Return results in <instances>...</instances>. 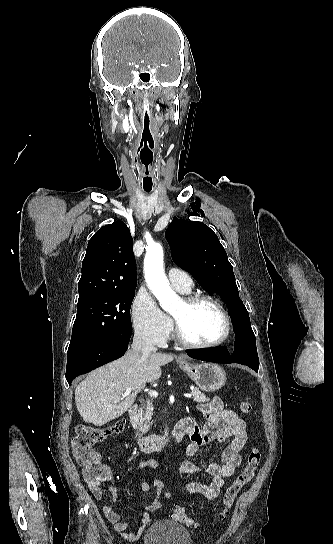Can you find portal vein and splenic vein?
Segmentation results:
<instances>
[{"mask_svg": "<svg viewBox=\"0 0 333 544\" xmlns=\"http://www.w3.org/2000/svg\"><path fill=\"white\" fill-rule=\"evenodd\" d=\"M132 390H133V388H131V387L126 388V391H125L124 396L128 395ZM149 395H150L151 397H155V398H156V397L158 396V393H157L156 391H150V392H149ZM192 396H193V395L190 394V393H185V394H184V397H186V398H191Z\"/></svg>", "mask_w": 333, "mask_h": 544, "instance_id": "obj_1", "label": "portal vein and splenic vein"}]
</instances>
